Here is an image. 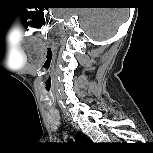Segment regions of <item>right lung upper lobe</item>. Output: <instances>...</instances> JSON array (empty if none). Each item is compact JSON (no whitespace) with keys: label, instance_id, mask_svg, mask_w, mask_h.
<instances>
[{"label":"right lung upper lobe","instance_id":"cb5924a9","mask_svg":"<svg viewBox=\"0 0 153 153\" xmlns=\"http://www.w3.org/2000/svg\"><path fill=\"white\" fill-rule=\"evenodd\" d=\"M75 140L78 142H90V139L84 135L82 132H78L75 136Z\"/></svg>","mask_w":153,"mask_h":153}]
</instances>
